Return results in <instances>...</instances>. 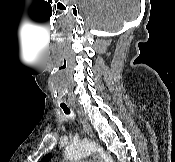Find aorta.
Wrapping results in <instances>:
<instances>
[{
  "label": "aorta",
  "mask_w": 175,
  "mask_h": 162,
  "mask_svg": "<svg viewBox=\"0 0 175 162\" xmlns=\"http://www.w3.org/2000/svg\"><path fill=\"white\" fill-rule=\"evenodd\" d=\"M94 152L100 155L103 162H113L110 154L106 153L98 144L89 140L70 143L66 146L64 154L67 160L76 161Z\"/></svg>",
  "instance_id": "obj_1"
}]
</instances>
